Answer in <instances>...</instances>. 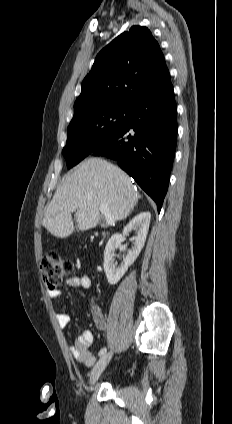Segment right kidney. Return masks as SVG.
<instances>
[{
	"label": "right kidney",
	"instance_id": "ca27d5eb",
	"mask_svg": "<svg viewBox=\"0 0 232 424\" xmlns=\"http://www.w3.org/2000/svg\"><path fill=\"white\" fill-rule=\"evenodd\" d=\"M151 214L142 212L136 215L123 230L122 234H114L108 241L104 251V271L109 284L115 285L123 277L136 258L139 256L148 233ZM134 231L137 235L134 238V247L130 250L120 266L117 267L115 261V249L118 248L130 232Z\"/></svg>",
	"mask_w": 232,
	"mask_h": 424
}]
</instances>
